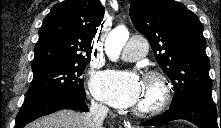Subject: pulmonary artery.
<instances>
[{
    "mask_svg": "<svg viewBox=\"0 0 221 128\" xmlns=\"http://www.w3.org/2000/svg\"><path fill=\"white\" fill-rule=\"evenodd\" d=\"M148 43L146 40L138 37L131 38L125 45L121 59L124 61H134L146 54Z\"/></svg>",
    "mask_w": 221,
    "mask_h": 128,
    "instance_id": "obj_1",
    "label": "pulmonary artery"
}]
</instances>
